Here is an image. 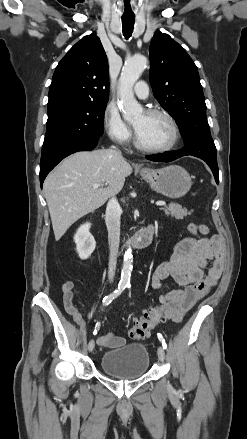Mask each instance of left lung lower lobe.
<instances>
[{
  "instance_id": "left-lung-lower-lobe-1",
  "label": "left lung lower lobe",
  "mask_w": 247,
  "mask_h": 439,
  "mask_svg": "<svg viewBox=\"0 0 247 439\" xmlns=\"http://www.w3.org/2000/svg\"><path fill=\"white\" fill-rule=\"evenodd\" d=\"M183 155H186V154L184 152H180V151H171V152H165L162 154L146 156V159L151 160V161H155V162H171L173 160H176L179 157H182ZM212 172L214 174L216 182L219 183V170L212 169Z\"/></svg>"
}]
</instances>
